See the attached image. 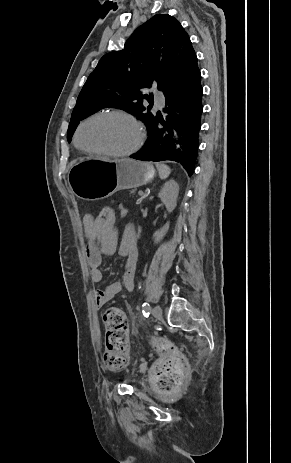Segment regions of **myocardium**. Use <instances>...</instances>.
I'll list each match as a JSON object with an SVG mask.
<instances>
[{
    "instance_id": "obj_1",
    "label": "myocardium",
    "mask_w": 291,
    "mask_h": 463,
    "mask_svg": "<svg viewBox=\"0 0 291 463\" xmlns=\"http://www.w3.org/2000/svg\"><path fill=\"white\" fill-rule=\"evenodd\" d=\"M110 116L122 117V118L128 120L134 126V128L136 130V140H135L134 144L130 148L126 149V150H119V151L106 150V149H90V148H86V147L82 146L80 144V141H79V136H80V132H81V129L83 128V126L86 125L88 122L96 119V118L110 117ZM144 137H145L144 128H143L142 124L140 123V121L132 113H130V112L126 111V110H122V109H112V110H107V111H101V112L94 113V114L86 117L85 119H83L78 124V126H77V128L75 130L74 144L79 150H81L82 152L87 153V154L103 155V156H108V157H126V156H130V155L136 153L140 149V147L143 144Z\"/></svg>"
}]
</instances>
